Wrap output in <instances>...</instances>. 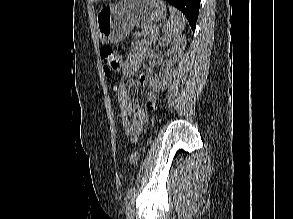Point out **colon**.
Returning <instances> with one entry per match:
<instances>
[{
	"label": "colon",
	"instance_id": "obj_1",
	"mask_svg": "<svg viewBox=\"0 0 293 219\" xmlns=\"http://www.w3.org/2000/svg\"><path fill=\"white\" fill-rule=\"evenodd\" d=\"M105 74L107 76L114 75L120 66V58L116 51L109 47H104L100 51ZM131 163H136L139 159L138 151H133L129 156Z\"/></svg>",
	"mask_w": 293,
	"mask_h": 219
}]
</instances>
